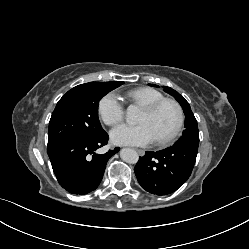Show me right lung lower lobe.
<instances>
[{"label": "right lung lower lobe", "mask_w": 249, "mask_h": 249, "mask_svg": "<svg viewBox=\"0 0 249 249\" xmlns=\"http://www.w3.org/2000/svg\"><path fill=\"white\" fill-rule=\"evenodd\" d=\"M108 139L103 131L92 139L69 140L47 149L59 184L69 193L83 195L98 187L107 161L119 151L116 147L105 154L96 153Z\"/></svg>", "instance_id": "98d812e1"}]
</instances>
